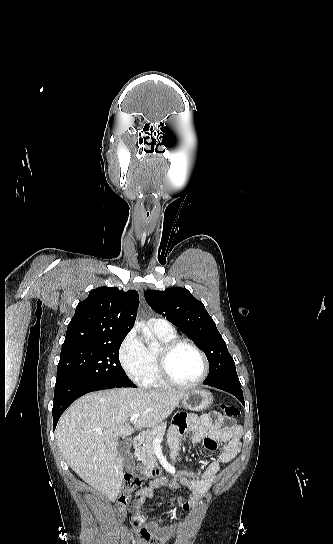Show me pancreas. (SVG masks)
Returning a JSON list of instances; mask_svg holds the SVG:
<instances>
[{
    "label": "pancreas",
    "mask_w": 333,
    "mask_h": 544,
    "mask_svg": "<svg viewBox=\"0 0 333 544\" xmlns=\"http://www.w3.org/2000/svg\"><path fill=\"white\" fill-rule=\"evenodd\" d=\"M166 424L159 425L153 430L148 431L147 435L140 441L139 447L135 450V456L143 464L149 466H157V460L154 455L156 438L162 439L165 435Z\"/></svg>",
    "instance_id": "cf45deb5"
}]
</instances>
